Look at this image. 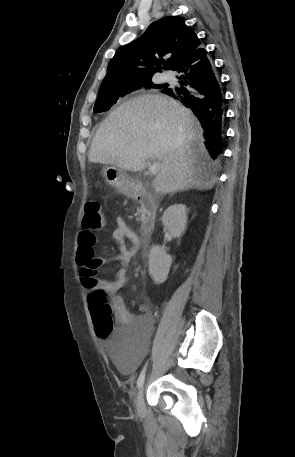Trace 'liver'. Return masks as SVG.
<instances>
[{"mask_svg":"<svg viewBox=\"0 0 295 457\" xmlns=\"http://www.w3.org/2000/svg\"><path fill=\"white\" fill-rule=\"evenodd\" d=\"M203 129L192 111L164 95L134 97L112 111L98 128L88 159L138 172L158 160L153 187L168 194L186 187L209 190L215 183Z\"/></svg>","mask_w":295,"mask_h":457,"instance_id":"liver-1","label":"liver"}]
</instances>
